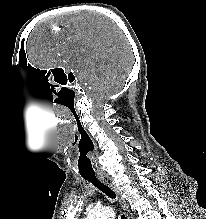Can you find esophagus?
I'll list each match as a JSON object with an SVG mask.
<instances>
[{"mask_svg":"<svg viewBox=\"0 0 206 219\" xmlns=\"http://www.w3.org/2000/svg\"><path fill=\"white\" fill-rule=\"evenodd\" d=\"M98 179L102 183H104L108 187H110L113 190V192L116 194V196L118 198V201H119V203H120V205H121V207H122V209L124 211L126 219H133V215H132V213L130 211V208H129V205H128L127 201L122 197L119 189L114 184L112 178L109 175H107V174H99L98 175Z\"/></svg>","mask_w":206,"mask_h":219,"instance_id":"obj_1","label":"esophagus"}]
</instances>
